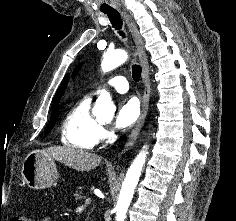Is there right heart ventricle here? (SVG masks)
Wrapping results in <instances>:
<instances>
[{"mask_svg":"<svg viewBox=\"0 0 236 221\" xmlns=\"http://www.w3.org/2000/svg\"><path fill=\"white\" fill-rule=\"evenodd\" d=\"M90 97L78 100L61 125V141L70 148L91 150L98 143L100 124L90 111Z\"/></svg>","mask_w":236,"mask_h":221,"instance_id":"1","label":"right heart ventricle"}]
</instances>
